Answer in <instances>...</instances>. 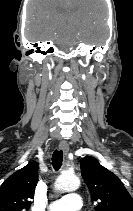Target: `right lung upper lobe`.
<instances>
[{"label": "right lung upper lobe", "instance_id": "right-lung-upper-lobe-1", "mask_svg": "<svg viewBox=\"0 0 133 211\" xmlns=\"http://www.w3.org/2000/svg\"><path fill=\"white\" fill-rule=\"evenodd\" d=\"M38 182V168L29 164L12 174L0 187V211H28Z\"/></svg>", "mask_w": 133, "mask_h": 211}]
</instances>
